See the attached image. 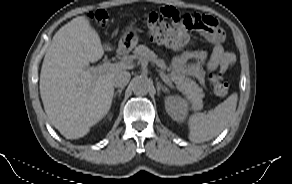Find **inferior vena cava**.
Returning a JSON list of instances; mask_svg holds the SVG:
<instances>
[{
	"instance_id": "inferior-vena-cava-1",
	"label": "inferior vena cava",
	"mask_w": 292,
	"mask_h": 184,
	"mask_svg": "<svg viewBox=\"0 0 292 184\" xmlns=\"http://www.w3.org/2000/svg\"><path fill=\"white\" fill-rule=\"evenodd\" d=\"M131 75L127 71H121L114 76L113 84L115 87L124 88L130 81Z\"/></svg>"
}]
</instances>
